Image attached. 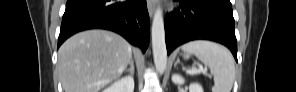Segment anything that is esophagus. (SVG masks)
Wrapping results in <instances>:
<instances>
[{
	"instance_id": "obj_1",
	"label": "esophagus",
	"mask_w": 296,
	"mask_h": 92,
	"mask_svg": "<svg viewBox=\"0 0 296 92\" xmlns=\"http://www.w3.org/2000/svg\"><path fill=\"white\" fill-rule=\"evenodd\" d=\"M147 9L149 16L152 18L155 11V1L154 0H147Z\"/></svg>"
}]
</instances>
